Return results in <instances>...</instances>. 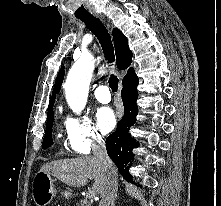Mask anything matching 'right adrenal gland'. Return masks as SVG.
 <instances>
[{
    "instance_id": "obj_1",
    "label": "right adrenal gland",
    "mask_w": 221,
    "mask_h": 206,
    "mask_svg": "<svg viewBox=\"0 0 221 206\" xmlns=\"http://www.w3.org/2000/svg\"><path fill=\"white\" fill-rule=\"evenodd\" d=\"M116 199H117V194H115L111 206H115Z\"/></svg>"
}]
</instances>
